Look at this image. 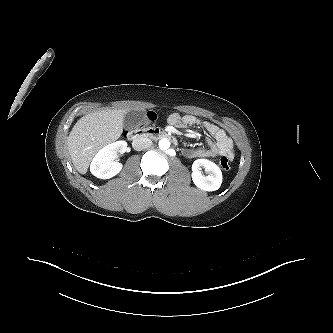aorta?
<instances>
[{
  "label": "aorta",
  "instance_id": "aorta-1",
  "mask_svg": "<svg viewBox=\"0 0 333 333\" xmlns=\"http://www.w3.org/2000/svg\"><path fill=\"white\" fill-rule=\"evenodd\" d=\"M161 150H167L170 147V141L168 139H161L158 143Z\"/></svg>",
  "mask_w": 333,
  "mask_h": 333
}]
</instances>
